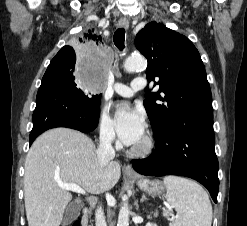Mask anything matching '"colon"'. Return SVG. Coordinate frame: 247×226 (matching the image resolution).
<instances>
[{"label":"colon","mask_w":247,"mask_h":226,"mask_svg":"<svg viewBox=\"0 0 247 226\" xmlns=\"http://www.w3.org/2000/svg\"><path fill=\"white\" fill-rule=\"evenodd\" d=\"M70 226H80V222L79 221H75Z\"/></svg>","instance_id":"1"}]
</instances>
